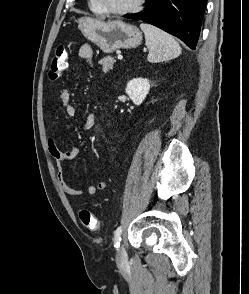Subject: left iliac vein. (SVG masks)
<instances>
[{
    "label": "left iliac vein",
    "instance_id": "obj_1",
    "mask_svg": "<svg viewBox=\"0 0 249 294\" xmlns=\"http://www.w3.org/2000/svg\"><path fill=\"white\" fill-rule=\"evenodd\" d=\"M127 259V253H126V250L124 248L123 245H121L119 248H118V252H117V261L118 263L122 264L126 261Z\"/></svg>",
    "mask_w": 249,
    "mask_h": 294
}]
</instances>
